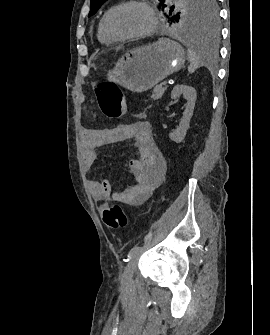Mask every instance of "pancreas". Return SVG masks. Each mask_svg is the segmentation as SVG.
I'll return each mask as SVG.
<instances>
[{"instance_id":"obj_1","label":"pancreas","mask_w":270,"mask_h":335,"mask_svg":"<svg viewBox=\"0 0 270 335\" xmlns=\"http://www.w3.org/2000/svg\"><path fill=\"white\" fill-rule=\"evenodd\" d=\"M166 88H163L162 84H159V86H155L153 92H152V100H159V98H162Z\"/></svg>"}]
</instances>
